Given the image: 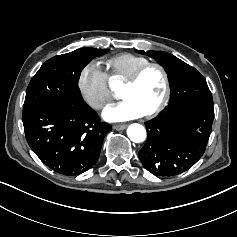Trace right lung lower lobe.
I'll list each match as a JSON object with an SVG mask.
<instances>
[{
    "mask_svg": "<svg viewBox=\"0 0 237 237\" xmlns=\"http://www.w3.org/2000/svg\"><path fill=\"white\" fill-rule=\"evenodd\" d=\"M26 140L52 170L79 175L98 160L111 130L83 100L57 101L23 112Z\"/></svg>",
    "mask_w": 237,
    "mask_h": 237,
    "instance_id": "98d812e1",
    "label": "right lung lower lobe"
}]
</instances>
